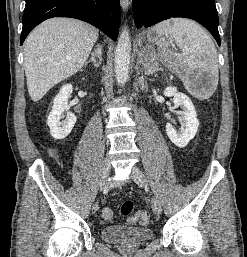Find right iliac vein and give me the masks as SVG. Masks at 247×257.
<instances>
[{
  "label": "right iliac vein",
  "mask_w": 247,
  "mask_h": 257,
  "mask_svg": "<svg viewBox=\"0 0 247 257\" xmlns=\"http://www.w3.org/2000/svg\"><path fill=\"white\" fill-rule=\"evenodd\" d=\"M110 169H111L110 160L106 159L104 164H103L101 178H100V182H99V188H100L101 191L106 186V182H107V178H108L109 173H110Z\"/></svg>",
  "instance_id": "63e3f726"
}]
</instances>
